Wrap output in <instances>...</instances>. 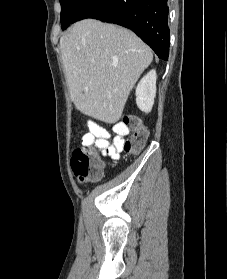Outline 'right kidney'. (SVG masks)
<instances>
[{"instance_id":"1","label":"right kidney","mask_w":227,"mask_h":279,"mask_svg":"<svg viewBox=\"0 0 227 279\" xmlns=\"http://www.w3.org/2000/svg\"><path fill=\"white\" fill-rule=\"evenodd\" d=\"M156 71L151 70L138 83L136 88V103L138 108L149 113L152 110L156 96Z\"/></svg>"}]
</instances>
